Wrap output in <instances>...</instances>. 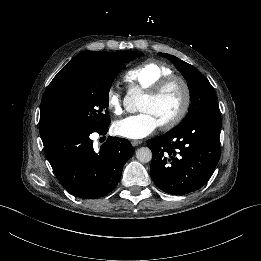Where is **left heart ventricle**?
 I'll use <instances>...</instances> for the list:
<instances>
[{
  "label": "left heart ventricle",
  "mask_w": 261,
  "mask_h": 261,
  "mask_svg": "<svg viewBox=\"0 0 261 261\" xmlns=\"http://www.w3.org/2000/svg\"><path fill=\"white\" fill-rule=\"evenodd\" d=\"M184 99L180 84L167 89L159 98L149 99L146 96L141 101L139 110L150 112L160 124L171 119L181 108Z\"/></svg>",
  "instance_id": "1"
}]
</instances>
